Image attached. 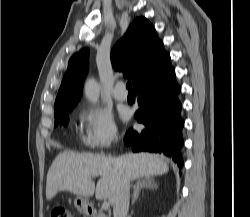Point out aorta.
Returning <instances> with one entry per match:
<instances>
[{"mask_svg": "<svg viewBox=\"0 0 250 217\" xmlns=\"http://www.w3.org/2000/svg\"><path fill=\"white\" fill-rule=\"evenodd\" d=\"M85 96L86 98L92 102L97 103L99 99L100 93V85L94 78H89L85 83Z\"/></svg>", "mask_w": 250, "mask_h": 217, "instance_id": "aorta-1", "label": "aorta"}]
</instances>
